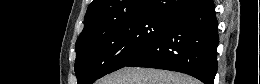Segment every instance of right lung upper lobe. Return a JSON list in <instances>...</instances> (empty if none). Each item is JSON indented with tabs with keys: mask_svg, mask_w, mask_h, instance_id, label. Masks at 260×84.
I'll return each instance as SVG.
<instances>
[{
	"mask_svg": "<svg viewBox=\"0 0 260 84\" xmlns=\"http://www.w3.org/2000/svg\"><path fill=\"white\" fill-rule=\"evenodd\" d=\"M197 0H93L76 45L92 40L120 21L147 15L172 17Z\"/></svg>",
	"mask_w": 260,
	"mask_h": 84,
	"instance_id": "obj_1",
	"label": "right lung upper lobe"
}]
</instances>
